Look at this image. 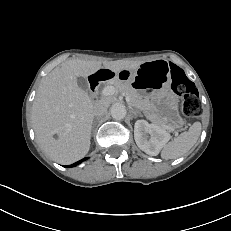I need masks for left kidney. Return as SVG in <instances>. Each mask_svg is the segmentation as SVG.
Here are the masks:
<instances>
[{"label":"left kidney","mask_w":231,"mask_h":231,"mask_svg":"<svg viewBox=\"0 0 231 231\" xmlns=\"http://www.w3.org/2000/svg\"><path fill=\"white\" fill-rule=\"evenodd\" d=\"M134 138L142 151L156 156L169 141L170 135L155 124H149L146 120H137L134 126Z\"/></svg>","instance_id":"left-kidney-1"}]
</instances>
